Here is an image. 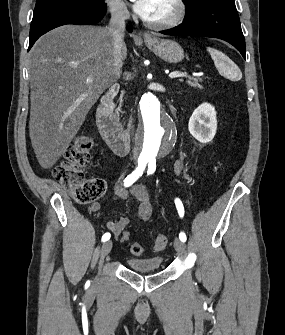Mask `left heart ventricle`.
Masks as SVG:
<instances>
[{"instance_id": "left-heart-ventricle-1", "label": "left heart ventricle", "mask_w": 285, "mask_h": 335, "mask_svg": "<svg viewBox=\"0 0 285 335\" xmlns=\"http://www.w3.org/2000/svg\"><path fill=\"white\" fill-rule=\"evenodd\" d=\"M174 12L170 1H154V10L150 23H160L173 16Z\"/></svg>"}]
</instances>
